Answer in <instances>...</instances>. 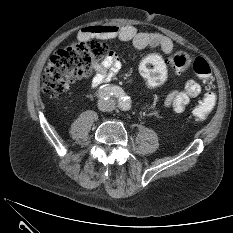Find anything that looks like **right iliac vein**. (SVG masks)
<instances>
[{
	"label": "right iliac vein",
	"instance_id": "right-iliac-vein-1",
	"mask_svg": "<svg viewBox=\"0 0 233 233\" xmlns=\"http://www.w3.org/2000/svg\"><path fill=\"white\" fill-rule=\"evenodd\" d=\"M98 108L101 111H106L109 108V102H107V101H99Z\"/></svg>",
	"mask_w": 233,
	"mask_h": 233
}]
</instances>
